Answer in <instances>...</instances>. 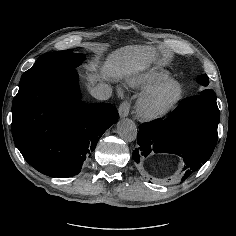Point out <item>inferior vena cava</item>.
I'll use <instances>...</instances> for the list:
<instances>
[{
    "instance_id": "602c4592",
    "label": "inferior vena cava",
    "mask_w": 236,
    "mask_h": 236,
    "mask_svg": "<svg viewBox=\"0 0 236 236\" xmlns=\"http://www.w3.org/2000/svg\"><path fill=\"white\" fill-rule=\"evenodd\" d=\"M91 95L98 100H108L112 95V90L108 85L100 84L94 87Z\"/></svg>"
}]
</instances>
